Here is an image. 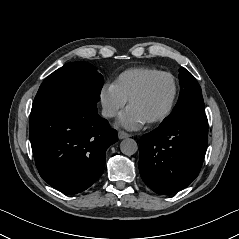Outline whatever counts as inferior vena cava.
Returning a JSON list of instances; mask_svg holds the SVG:
<instances>
[{
    "label": "inferior vena cava",
    "mask_w": 239,
    "mask_h": 239,
    "mask_svg": "<svg viewBox=\"0 0 239 239\" xmlns=\"http://www.w3.org/2000/svg\"><path fill=\"white\" fill-rule=\"evenodd\" d=\"M115 114H116L115 110L111 107H105L102 110V116H104V117L111 118V117L115 116Z\"/></svg>",
    "instance_id": "1"
}]
</instances>
